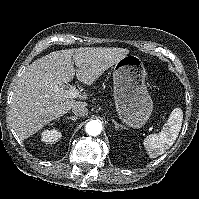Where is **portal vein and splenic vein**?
<instances>
[{"label":"portal vein and splenic vein","mask_w":199,"mask_h":199,"mask_svg":"<svg viewBox=\"0 0 199 199\" xmlns=\"http://www.w3.org/2000/svg\"><path fill=\"white\" fill-rule=\"evenodd\" d=\"M60 93L69 98H77L81 96L79 91L75 88V86H71L68 90L61 89Z\"/></svg>","instance_id":"1"}]
</instances>
